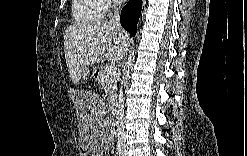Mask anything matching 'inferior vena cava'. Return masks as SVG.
<instances>
[{
  "mask_svg": "<svg viewBox=\"0 0 247 156\" xmlns=\"http://www.w3.org/2000/svg\"><path fill=\"white\" fill-rule=\"evenodd\" d=\"M115 9V13L110 20V22L115 25V26H120V15L118 11V7L116 4L113 5ZM124 98L122 96V91L120 90V96L118 100V106H117V130H118V135L120 138H125V129H124Z\"/></svg>",
  "mask_w": 247,
  "mask_h": 156,
  "instance_id": "602c4592",
  "label": "inferior vena cava"
}]
</instances>
